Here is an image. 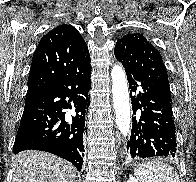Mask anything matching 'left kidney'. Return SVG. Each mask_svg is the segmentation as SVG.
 Here are the masks:
<instances>
[{
    "label": "left kidney",
    "instance_id": "obj_1",
    "mask_svg": "<svg viewBox=\"0 0 196 182\" xmlns=\"http://www.w3.org/2000/svg\"><path fill=\"white\" fill-rule=\"evenodd\" d=\"M127 182H138V180L135 177H129Z\"/></svg>",
    "mask_w": 196,
    "mask_h": 182
}]
</instances>
